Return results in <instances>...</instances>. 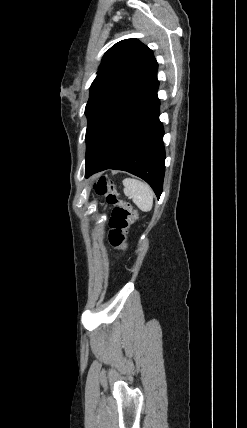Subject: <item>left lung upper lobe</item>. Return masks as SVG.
<instances>
[{
  "instance_id": "5c2ea615",
  "label": "left lung upper lobe",
  "mask_w": 247,
  "mask_h": 428,
  "mask_svg": "<svg viewBox=\"0 0 247 428\" xmlns=\"http://www.w3.org/2000/svg\"><path fill=\"white\" fill-rule=\"evenodd\" d=\"M157 69L152 50L137 39L122 40L105 53L85 108L86 156L109 118L155 82Z\"/></svg>"
}]
</instances>
